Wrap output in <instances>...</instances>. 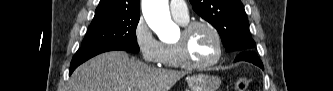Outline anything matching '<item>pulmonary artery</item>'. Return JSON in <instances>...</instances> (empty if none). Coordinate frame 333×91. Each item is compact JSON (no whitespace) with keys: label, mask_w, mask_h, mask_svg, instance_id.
Listing matches in <instances>:
<instances>
[{"label":"pulmonary artery","mask_w":333,"mask_h":91,"mask_svg":"<svg viewBox=\"0 0 333 91\" xmlns=\"http://www.w3.org/2000/svg\"><path fill=\"white\" fill-rule=\"evenodd\" d=\"M170 12L172 16L180 21H187L189 17V12L187 5L184 1H171L170 2Z\"/></svg>","instance_id":"1"}]
</instances>
